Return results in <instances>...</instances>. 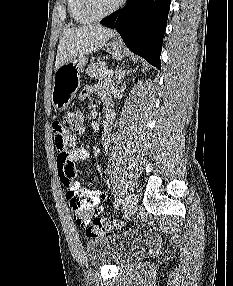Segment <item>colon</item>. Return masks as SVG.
Instances as JSON below:
<instances>
[{
    "instance_id": "1",
    "label": "colon",
    "mask_w": 233,
    "mask_h": 286,
    "mask_svg": "<svg viewBox=\"0 0 233 286\" xmlns=\"http://www.w3.org/2000/svg\"><path fill=\"white\" fill-rule=\"evenodd\" d=\"M60 127L65 130H70L74 133H80L84 126V114L81 110H71L64 114ZM69 206L76 217L80 220H87V214L82 209V201L80 197L73 191L67 193ZM89 221L87 222V224ZM120 226V222L105 218L96 217L88 225L86 234L90 238L101 236L110 232L114 228Z\"/></svg>"
}]
</instances>
